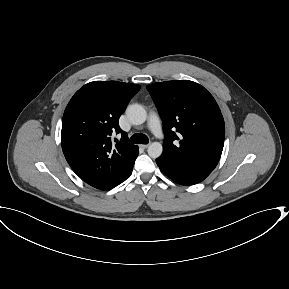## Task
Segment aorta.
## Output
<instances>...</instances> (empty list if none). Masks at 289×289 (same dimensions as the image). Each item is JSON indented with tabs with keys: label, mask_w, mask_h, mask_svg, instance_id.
Returning a JSON list of instances; mask_svg holds the SVG:
<instances>
[{
	"label": "aorta",
	"mask_w": 289,
	"mask_h": 289,
	"mask_svg": "<svg viewBox=\"0 0 289 289\" xmlns=\"http://www.w3.org/2000/svg\"><path fill=\"white\" fill-rule=\"evenodd\" d=\"M126 116L133 125H140L146 121L147 112L140 104H131L126 109ZM148 155L151 158H158L163 152V146L160 142H152L148 147Z\"/></svg>",
	"instance_id": "1"
}]
</instances>
